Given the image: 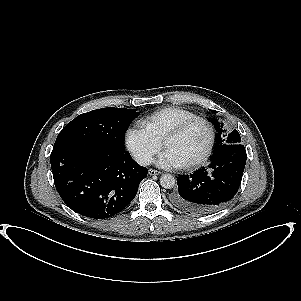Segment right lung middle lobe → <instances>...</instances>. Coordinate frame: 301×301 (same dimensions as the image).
I'll return each mask as SVG.
<instances>
[{
    "label": "right lung middle lobe",
    "mask_w": 301,
    "mask_h": 301,
    "mask_svg": "<svg viewBox=\"0 0 301 301\" xmlns=\"http://www.w3.org/2000/svg\"><path fill=\"white\" fill-rule=\"evenodd\" d=\"M138 115L136 109L114 107L83 113L62 129L54 146L94 140L124 149V133Z\"/></svg>",
    "instance_id": "right-lung-middle-lobe-1"
}]
</instances>
